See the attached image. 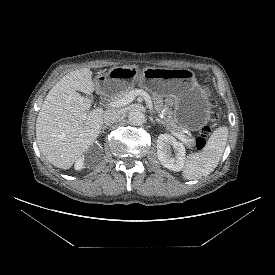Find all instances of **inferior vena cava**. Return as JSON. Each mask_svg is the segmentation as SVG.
Here are the masks:
<instances>
[{"label":"inferior vena cava","instance_id":"1","mask_svg":"<svg viewBox=\"0 0 275 275\" xmlns=\"http://www.w3.org/2000/svg\"><path fill=\"white\" fill-rule=\"evenodd\" d=\"M121 111L118 109H108L104 112L103 121L105 125H112L116 123L121 117Z\"/></svg>","mask_w":275,"mask_h":275}]
</instances>
